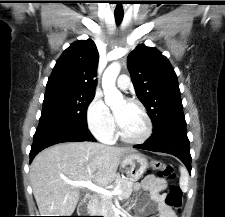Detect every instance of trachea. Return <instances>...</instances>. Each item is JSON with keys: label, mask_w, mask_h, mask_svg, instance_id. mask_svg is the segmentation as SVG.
Segmentation results:
<instances>
[{"label": "trachea", "mask_w": 225, "mask_h": 217, "mask_svg": "<svg viewBox=\"0 0 225 217\" xmlns=\"http://www.w3.org/2000/svg\"><path fill=\"white\" fill-rule=\"evenodd\" d=\"M114 16L117 25H119L123 20L124 13H115Z\"/></svg>", "instance_id": "trachea-1"}]
</instances>
